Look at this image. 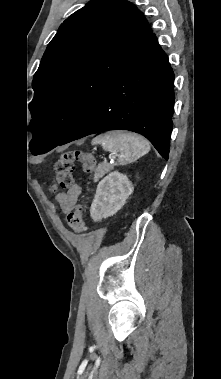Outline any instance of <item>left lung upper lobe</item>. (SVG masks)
Returning a JSON list of instances; mask_svg holds the SVG:
<instances>
[{
  "label": "left lung upper lobe",
  "mask_w": 221,
  "mask_h": 379,
  "mask_svg": "<svg viewBox=\"0 0 221 379\" xmlns=\"http://www.w3.org/2000/svg\"><path fill=\"white\" fill-rule=\"evenodd\" d=\"M126 0H91L59 27L32 82L33 155L56 147L152 36Z\"/></svg>",
  "instance_id": "1"
}]
</instances>
